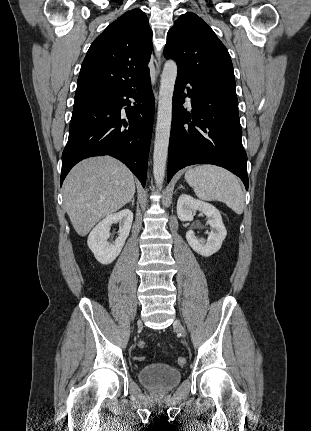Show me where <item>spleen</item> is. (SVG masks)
Returning a JSON list of instances; mask_svg holds the SVG:
<instances>
[{
	"mask_svg": "<svg viewBox=\"0 0 311 431\" xmlns=\"http://www.w3.org/2000/svg\"><path fill=\"white\" fill-rule=\"evenodd\" d=\"M185 180L193 188L199 200L224 202L235 214H243L245 200L242 188L228 170L218 166L189 168Z\"/></svg>",
	"mask_w": 311,
	"mask_h": 431,
	"instance_id": "1",
	"label": "spleen"
}]
</instances>
